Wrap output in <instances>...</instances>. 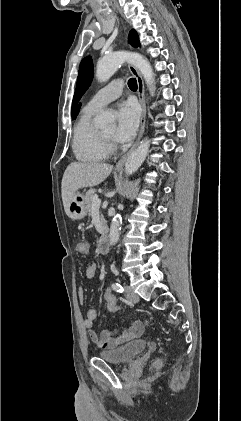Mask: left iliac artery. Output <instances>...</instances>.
<instances>
[{"instance_id":"left-iliac-artery-1","label":"left iliac artery","mask_w":241,"mask_h":421,"mask_svg":"<svg viewBox=\"0 0 241 421\" xmlns=\"http://www.w3.org/2000/svg\"><path fill=\"white\" fill-rule=\"evenodd\" d=\"M111 287L116 292H119V293L124 292V288L122 287L120 283H113Z\"/></svg>"}]
</instances>
